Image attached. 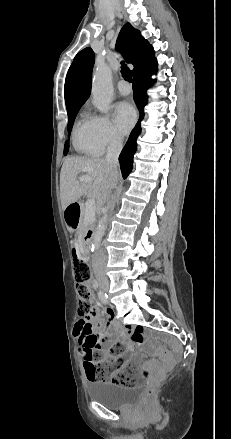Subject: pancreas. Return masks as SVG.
I'll use <instances>...</instances> for the list:
<instances>
[{
	"label": "pancreas",
	"instance_id": "1",
	"mask_svg": "<svg viewBox=\"0 0 231 439\" xmlns=\"http://www.w3.org/2000/svg\"><path fill=\"white\" fill-rule=\"evenodd\" d=\"M81 209H82L81 227L84 228L86 225H89L95 221V214L88 219L86 215V205L82 204Z\"/></svg>",
	"mask_w": 231,
	"mask_h": 439
}]
</instances>
